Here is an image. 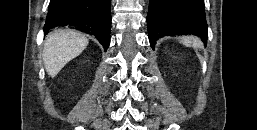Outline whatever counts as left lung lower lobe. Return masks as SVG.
Here are the masks:
<instances>
[{
	"label": "left lung lower lobe",
	"instance_id": "left-lung-lower-lobe-1",
	"mask_svg": "<svg viewBox=\"0 0 257 130\" xmlns=\"http://www.w3.org/2000/svg\"><path fill=\"white\" fill-rule=\"evenodd\" d=\"M147 24L152 49L163 36L196 34L204 43L208 37L204 0H150Z\"/></svg>",
	"mask_w": 257,
	"mask_h": 130
}]
</instances>
